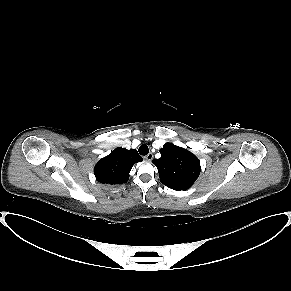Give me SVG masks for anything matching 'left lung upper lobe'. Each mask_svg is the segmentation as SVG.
<instances>
[{
	"label": "left lung upper lobe",
	"instance_id": "5c2ea615",
	"mask_svg": "<svg viewBox=\"0 0 291 291\" xmlns=\"http://www.w3.org/2000/svg\"><path fill=\"white\" fill-rule=\"evenodd\" d=\"M161 157L154 159L161 183L181 191L189 189L200 174L199 159L187 149L172 143L164 144L160 149Z\"/></svg>",
	"mask_w": 291,
	"mask_h": 291
}]
</instances>
